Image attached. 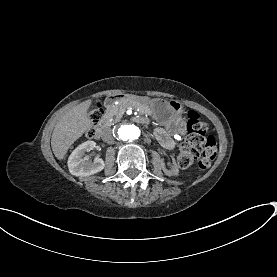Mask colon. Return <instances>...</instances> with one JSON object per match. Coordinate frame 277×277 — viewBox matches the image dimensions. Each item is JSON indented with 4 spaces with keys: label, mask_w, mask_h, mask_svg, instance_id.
I'll return each instance as SVG.
<instances>
[{
    "label": "colon",
    "mask_w": 277,
    "mask_h": 277,
    "mask_svg": "<svg viewBox=\"0 0 277 277\" xmlns=\"http://www.w3.org/2000/svg\"><path fill=\"white\" fill-rule=\"evenodd\" d=\"M103 116V107L96 106L91 112V121L99 122ZM207 126L195 111L187 113V136L178 153L176 163L180 168H189L195 163L207 168L212 163L216 154V139L206 134ZM99 132L96 124H91L84 132L87 140H93Z\"/></svg>",
    "instance_id": "obj_1"
}]
</instances>
